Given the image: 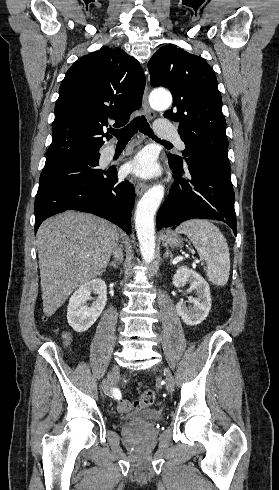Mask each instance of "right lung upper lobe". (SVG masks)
<instances>
[{
	"mask_svg": "<svg viewBox=\"0 0 279 490\" xmlns=\"http://www.w3.org/2000/svg\"><path fill=\"white\" fill-rule=\"evenodd\" d=\"M145 76L137 60L120 48H103L77 60L59 89L46 163L100 156L109 120L128 122L139 109Z\"/></svg>",
	"mask_w": 279,
	"mask_h": 490,
	"instance_id": "obj_1",
	"label": "right lung upper lobe"
}]
</instances>
